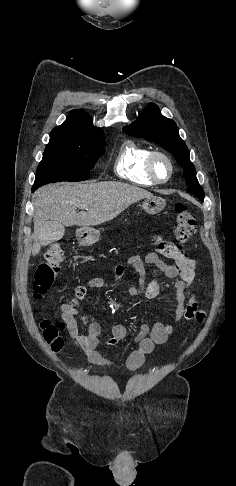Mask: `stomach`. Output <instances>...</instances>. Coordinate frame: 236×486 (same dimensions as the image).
Wrapping results in <instances>:
<instances>
[{
	"label": "stomach",
	"instance_id": "stomach-1",
	"mask_svg": "<svg viewBox=\"0 0 236 486\" xmlns=\"http://www.w3.org/2000/svg\"><path fill=\"white\" fill-rule=\"evenodd\" d=\"M166 206V201L161 197L146 198L142 207L148 214H157ZM76 238L80 245L90 246L100 238V231L92 227H82L76 231Z\"/></svg>",
	"mask_w": 236,
	"mask_h": 486
}]
</instances>
